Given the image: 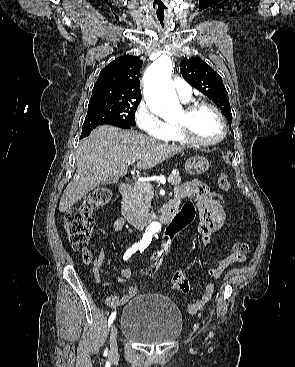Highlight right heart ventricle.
Instances as JSON below:
<instances>
[{
	"label": "right heart ventricle",
	"mask_w": 295,
	"mask_h": 367,
	"mask_svg": "<svg viewBox=\"0 0 295 367\" xmlns=\"http://www.w3.org/2000/svg\"><path fill=\"white\" fill-rule=\"evenodd\" d=\"M169 142L179 143V144H189V142L183 137L177 128L176 124H170V131L167 137L164 139Z\"/></svg>",
	"instance_id": "right-heart-ventricle-1"
}]
</instances>
